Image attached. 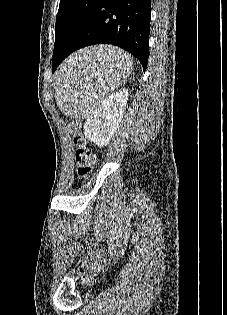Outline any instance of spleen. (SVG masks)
I'll return each instance as SVG.
<instances>
[{
  "instance_id": "1",
  "label": "spleen",
  "mask_w": 227,
  "mask_h": 315,
  "mask_svg": "<svg viewBox=\"0 0 227 315\" xmlns=\"http://www.w3.org/2000/svg\"><path fill=\"white\" fill-rule=\"evenodd\" d=\"M132 70L130 56L112 46L91 47L70 56L56 81V103L69 117L88 118Z\"/></svg>"
}]
</instances>
